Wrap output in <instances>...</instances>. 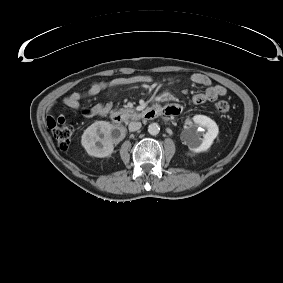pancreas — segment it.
Returning <instances> with one entry per match:
<instances>
[{
    "instance_id": "pancreas-1",
    "label": "pancreas",
    "mask_w": 283,
    "mask_h": 283,
    "mask_svg": "<svg viewBox=\"0 0 283 283\" xmlns=\"http://www.w3.org/2000/svg\"><path fill=\"white\" fill-rule=\"evenodd\" d=\"M120 112H121V113L130 112V113H132V114H135L134 111L131 110V109H120Z\"/></svg>"
}]
</instances>
